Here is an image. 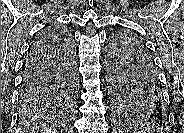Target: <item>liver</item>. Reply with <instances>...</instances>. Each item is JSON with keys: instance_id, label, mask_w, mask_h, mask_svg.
Returning <instances> with one entry per match:
<instances>
[{"instance_id": "1", "label": "liver", "mask_w": 184, "mask_h": 133, "mask_svg": "<svg viewBox=\"0 0 184 133\" xmlns=\"http://www.w3.org/2000/svg\"><path fill=\"white\" fill-rule=\"evenodd\" d=\"M34 133H55V129L49 128L46 124L35 125L32 129Z\"/></svg>"}]
</instances>
